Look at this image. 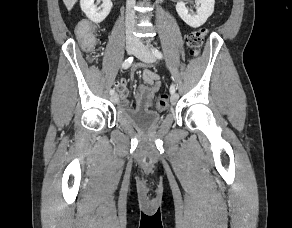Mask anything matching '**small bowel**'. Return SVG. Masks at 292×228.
Returning <instances> with one entry per match:
<instances>
[{
    "label": "small bowel",
    "instance_id": "small-bowel-1",
    "mask_svg": "<svg viewBox=\"0 0 292 228\" xmlns=\"http://www.w3.org/2000/svg\"><path fill=\"white\" fill-rule=\"evenodd\" d=\"M133 71L130 73L129 78H122L115 83L116 89L119 94V103L122 107H130L131 104L128 100V83L132 79ZM142 78L145 82L144 85H140L135 94L136 108H144L146 110L151 108L152 98L160 88L159 76L152 70H144L142 72Z\"/></svg>",
    "mask_w": 292,
    "mask_h": 228
}]
</instances>
